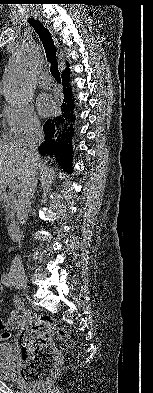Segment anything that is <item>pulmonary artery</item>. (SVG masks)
Returning <instances> with one entry per match:
<instances>
[{
    "mask_svg": "<svg viewBox=\"0 0 153 393\" xmlns=\"http://www.w3.org/2000/svg\"><path fill=\"white\" fill-rule=\"evenodd\" d=\"M39 84L41 87L48 89L53 85V80L48 73H43L39 77Z\"/></svg>",
    "mask_w": 153,
    "mask_h": 393,
    "instance_id": "1",
    "label": "pulmonary artery"
}]
</instances>
